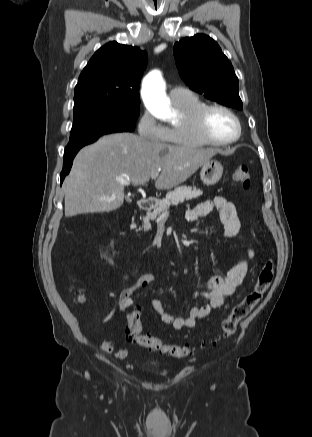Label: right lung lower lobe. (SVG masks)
Returning a JSON list of instances; mask_svg holds the SVG:
<instances>
[{"label":"right lung lower lobe","mask_w":312,"mask_h":437,"mask_svg":"<svg viewBox=\"0 0 312 437\" xmlns=\"http://www.w3.org/2000/svg\"><path fill=\"white\" fill-rule=\"evenodd\" d=\"M78 151H74V152L65 154V156L63 158V170L60 174L61 184H62L65 176L69 173L71 166H72V161H73V159Z\"/></svg>","instance_id":"obj_1"}]
</instances>
